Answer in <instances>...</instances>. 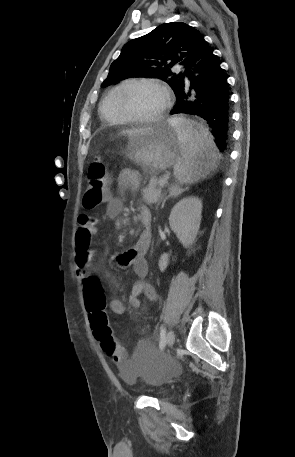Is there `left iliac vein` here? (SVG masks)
<instances>
[{"instance_id":"left-iliac-vein-1","label":"left iliac vein","mask_w":295,"mask_h":457,"mask_svg":"<svg viewBox=\"0 0 295 457\" xmlns=\"http://www.w3.org/2000/svg\"><path fill=\"white\" fill-rule=\"evenodd\" d=\"M175 342V334L174 332L171 330L168 332L167 334V337H166V344L171 347Z\"/></svg>"}]
</instances>
